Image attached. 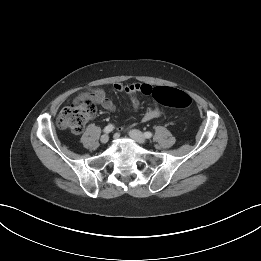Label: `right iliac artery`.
I'll use <instances>...</instances> for the list:
<instances>
[{"label": "right iliac artery", "mask_w": 261, "mask_h": 261, "mask_svg": "<svg viewBox=\"0 0 261 261\" xmlns=\"http://www.w3.org/2000/svg\"><path fill=\"white\" fill-rule=\"evenodd\" d=\"M113 129H114V126H113L112 124H109V125H107V126L104 128V132H105V133H110Z\"/></svg>", "instance_id": "1"}]
</instances>
